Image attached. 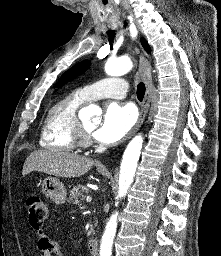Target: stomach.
Listing matches in <instances>:
<instances>
[{"label":"stomach","instance_id":"0dacf381","mask_svg":"<svg viewBox=\"0 0 221 256\" xmlns=\"http://www.w3.org/2000/svg\"><path fill=\"white\" fill-rule=\"evenodd\" d=\"M42 191L56 204H63L66 201L67 190L64 184L55 177H47L42 181Z\"/></svg>","mask_w":221,"mask_h":256}]
</instances>
